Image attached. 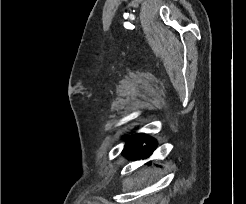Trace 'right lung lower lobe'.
I'll return each mask as SVG.
<instances>
[{
	"label": "right lung lower lobe",
	"instance_id": "obj_1",
	"mask_svg": "<svg viewBox=\"0 0 246 204\" xmlns=\"http://www.w3.org/2000/svg\"><path fill=\"white\" fill-rule=\"evenodd\" d=\"M156 145L157 142L154 139L144 134H136L127 140L123 155L129 159L147 158L151 155Z\"/></svg>",
	"mask_w": 246,
	"mask_h": 204
}]
</instances>
